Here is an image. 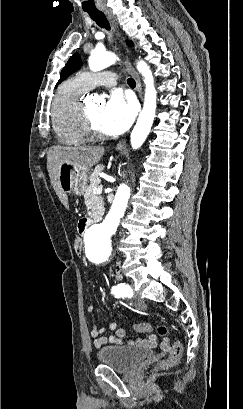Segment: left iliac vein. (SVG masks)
I'll list each match as a JSON object with an SVG mask.
<instances>
[{
  "instance_id": "left-iliac-vein-1",
  "label": "left iliac vein",
  "mask_w": 243,
  "mask_h": 409,
  "mask_svg": "<svg viewBox=\"0 0 243 409\" xmlns=\"http://www.w3.org/2000/svg\"><path fill=\"white\" fill-rule=\"evenodd\" d=\"M133 304L138 307V308H143L144 307V301L140 298H135V300L132 301Z\"/></svg>"
}]
</instances>
